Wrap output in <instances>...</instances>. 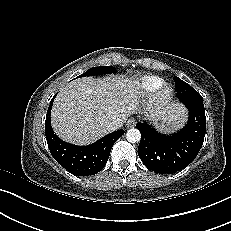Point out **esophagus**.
I'll use <instances>...</instances> for the list:
<instances>
[{
  "label": "esophagus",
  "mask_w": 231,
  "mask_h": 231,
  "mask_svg": "<svg viewBox=\"0 0 231 231\" xmlns=\"http://www.w3.org/2000/svg\"><path fill=\"white\" fill-rule=\"evenodd\" d=\"M135 124H136V120H135L134 118H130V119L127 121L126 126H127L128 128H130V127L135 126Z\"/></svg>",
  "instance_id": "1"
}]
</instances>
